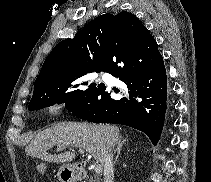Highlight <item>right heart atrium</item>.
<instances>
[{
	"mask_svg": "<svg viewBox=\"0 0 211 182\" xmlns=\"http://www.w3.org/2000/svg\"><path fill=\"white\" fill-rule=\"evenodd\" d=\"M63 107H64V104H63V103H57V104L54 105L53 109H54L55 111H59V110H61Z\"/></svg>",
	"mask_w": 211,
	"mask_h": 182,
	"instance_id": "d8ad5b80",
	"label": "right heart atrium"
}]
</instances>
